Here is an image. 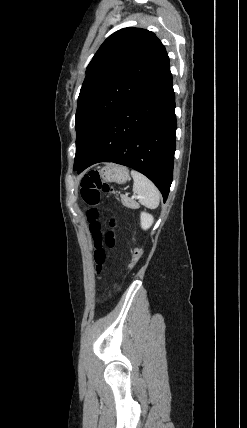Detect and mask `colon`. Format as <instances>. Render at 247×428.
Instances as JSON below:
<instances>
[{"label": "colon", "mask_w": 247, "mask_h": 428, "mask_svg": "<svg viewBox=\"0 0 247 428\" xmlns=\"http://www.w3.org/2000/svg\"><path fill=\"white\" fill-rule=\"evenodd\" d=\"M113 193L112 187L101 179L97 172L86 174L81 180V197L86 205L91 208L87 212L90 221V230L94 242L93 258L96 264V271L99 273L106 261V249H115L118 243L117 227L118 222L112 218L109 223L110 229L103 236L99 230V223L96 221L98 211L96 206L99 204L102 194ZM142 256L140 248H133L131 251L130 267L137 265ZM119 289V287H117Z\"/></svg>", "instance_id": "obj_1"}]
</instances>
